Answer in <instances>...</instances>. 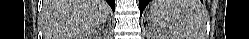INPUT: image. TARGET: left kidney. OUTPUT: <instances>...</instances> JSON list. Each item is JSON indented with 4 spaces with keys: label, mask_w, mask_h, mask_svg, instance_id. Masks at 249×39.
I'll use <instances>...</instances> for the list:
<instances>
[{
    "label": "left kidney",
    "mask_w": 249,
    "mask_h": 39,
    "mask_svg": "<svg viewBox=\"0 0 249 39\" xmlns=\"http://www.w3.org/2000/svg\"><path fill=\"white\" fill-rule=\"evenodd\" d=\"M169 35L165 34L164 32H157V39H171Z\"/></svg>",
    "instance_id": "obj_1"
}]
</instances>
